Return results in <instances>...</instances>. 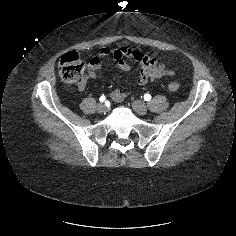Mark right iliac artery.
<instances>
[{
    "label": "right iliac artery",
    "mask_w": 236,
    "mask_h": 236,
    "mask_svg": "<svg viewBox=\"0 0 236 236\" xmlns=\"http://www.w3.org/2000/svg\"><path fill=\"white\" fill-rule=\"evenodd\" d=\"M99 100H100V102H104L106 100V98H105V96H101Z\"/></svg>",
    "instance_id": "82829eb1"
}]
</instances>
